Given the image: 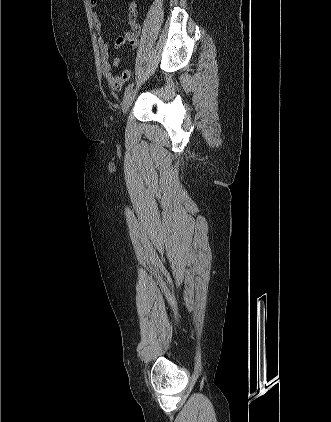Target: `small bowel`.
I'll use <instances>...</instances> for the list:
<instances>
[{
  "mask_svg": "<svg viewBox=\"0 0 331 422\" xmlns=\"http://www.w3.org/2000/svg\"><path fill=\"white\" fill-rule=\"evenodd\" d=\"M89 3L92 7H96L98 4V0H89ZM93 25L96 33L98 35L97 39V46L100 52L101 58V67L103 76L108 83V85L114 89L118 90L123 87L130 79H131V72L129 70H124L120 74L114 73V68L120 65V58L115 57L110 60L109 55V46L106 41L101 36V22L97 12L92 13ZM132 20V30H126L120 36H118L114 42V48L120 49L124 45H129L133 49H137L139 46L138 42V35L140 32L139 26L134 22L133 17Z\"/></svg>",
  "mask_w": 331,
  "mask_h": 422,
  "instance_id": "1",
  "label": "small bowel"
}]
</instances>
